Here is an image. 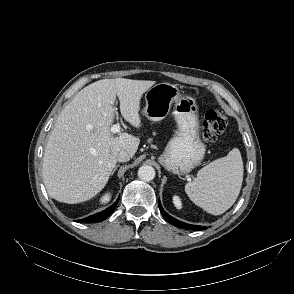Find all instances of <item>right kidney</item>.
<instances>
[{"mask_svg":"<svg viewBox=\"0 0 294 294\" xmlns=\"http://www.w3.org/2000/svg\"><path fill=\"white\" fill-rule=\"evenodd\" d=\"M111 199V194L110 193H106L104 196H102V198L100 199L101 203H108Z\"/></svg>","mask_w":294,"mask_h":294,"instance_id":"1","label":"right kidney"}]
</instances>
